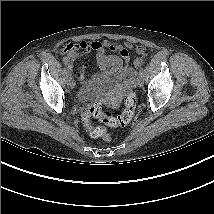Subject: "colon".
<instances>
[{
  "mask_svg": "<svg viewBox=\"0 0 214 214\" xmlns=\"http://www.w3.org/2000/svg\"><path fill=\"white\" fill-rule=\"evenodd\" d=\"M147 51L145 48L139 47L138 54L144 57ZM139 58L136 61V65H141L143 59ZM136 107V96L134 92L129 88L126 92L125 99H124V109L119 116H114L108 111L102 109L100 102L92 103L87 112L83 116V123L86 127L87 131L92 137L95 138H102L105 142H109L111 140L110 135L107 133L104 127H94L91 124V117H95L102 121L105 125L110 127H117V126H125L129 124L135 113Z\"/></svg>",
  "mask_w": 214,
  "mask_h": 214,
  "instance_id": "obj_1",
  "label": "colon"
}]
</instances>
